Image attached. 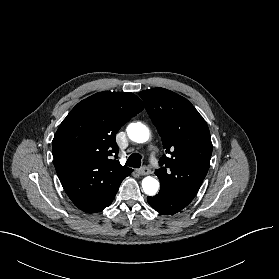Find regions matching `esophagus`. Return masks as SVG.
<instances>
[{
    "instance_id": "obj_1",
    "label": "esophagus",
    "mask_w": 279,
    "mask_h": 279,
    "mask_svg": "<svg viewBox=\"0 0 279 279\" xmlns=\"http://www.w3.org/2000/svg\"><path fill=\"white\" fill-rule=\"evenodd\" d=\"M151 173V170L148 166H143L142 169H141V174L142 175H148Z\"/></svg>"
}]
</instances>
